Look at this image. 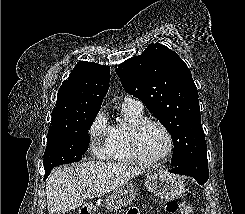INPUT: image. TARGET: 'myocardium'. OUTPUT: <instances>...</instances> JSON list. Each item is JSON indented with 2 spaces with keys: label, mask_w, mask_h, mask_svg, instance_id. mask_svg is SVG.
<instances>
[{
  "label": "myocardium",
  "mask_w": 245,
  "mask_h": 214,
  "mask_svg": "<svg viewBox=\"0 0 245 214\" xmlns=\"http://www.w3.org/2000/svg\"><path fill=\"white\" fill-rule=\"evenodd\" d=\"M148 126H156L161 129L167 138V148L166 151L158 158L150 159L143 155L139 146V137L142 131ZM128 145L133 157L140 163L144 165H157L164 160H166L173 152L174 140L170 130L161 122L155 120L143 119L137 123L132 124L128 129Z\"/></svg>",
  "instance_id": "obj_1"
}]
</instances>
